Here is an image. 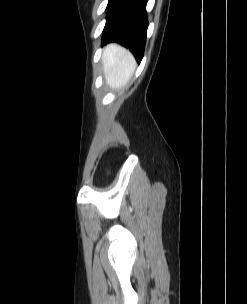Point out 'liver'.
Masks as SVG:
<instances>
[{
  "instance_id": "obj_1",
  "label": "liver",
  "mask_w": 247,
  "mask_h": 304,
  "mask_svg": "<svg viewBox=\"0 0 247 304\" xmlns=\"http://www.w3.org/2000/svg\"><path fill=\"white\" fill-rule=\"evenodd\" d=\"M102 63L105 82L111 89H123L136 68L134 56L118 44H109L104 49Z\"/></svg>"
}]
</instances>
